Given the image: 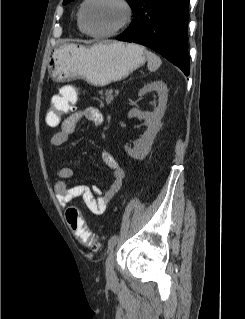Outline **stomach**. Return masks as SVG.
Instances as JSON below:
<instances>
[{
    "label": "stomach",
    "instance_id": "stomach-1",
    "mask_svg": "<svg viewBox=\"0 0 245 319\" xmlns=\"http://www.w3.org/2000/svg\"><path fill=\"white\" fill-rule=\"evenodd\" d=\"M146 61L138 44L100 42L91 46L62 45L54 50L48 64L49 76L56 82L84 79L105 86L127 77Z\"/></svg>",
    "mask_w": 245,
    "mask_h": 319
}]
</instances>
